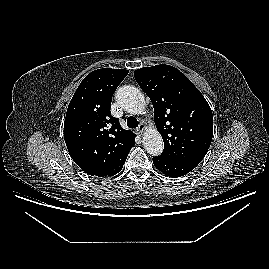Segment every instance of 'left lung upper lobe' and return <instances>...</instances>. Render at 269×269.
I'll return each instance as SVG.
<instances>
[{
    "label": "left lung upper lobe",
    "instance_id": "left-lung-upper-lobe-1",
    "mask_svg": "<svg viewBox=\"0 0 269 269\" xmlns=\"http://www.w3.org/2000/svg\"><path fill=\"white\" fill-rule=\"evenodd\" d=\"M154 107L155 125L164 141L162 157L199 164L213 136V114L201 92L170 65L134 71Z\"/></svg>",
    "mask_w": 269,
    "mask_h": 269
}]
</instances>
